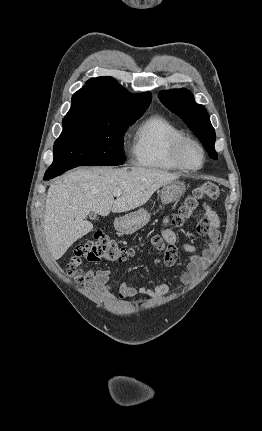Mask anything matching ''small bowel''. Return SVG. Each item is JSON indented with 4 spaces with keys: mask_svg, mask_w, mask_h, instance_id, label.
<instances>
[{
    "mask_svg": "<svg viewBox=\"0 0 262 431\" xmlns=\"http://www.w3.org/2000/svg\"><path fill=\"white\" fill-rule=\"evenodd\" d=\"M202 208L205 213V221L198 225L199 233L206 238L208 247L199 252L198 249L190 244H185L184 249L191 253L185 269L180 273V285L186 286L191 284L195 279L200 277L208 267L220 239L219 225L220 219L217 213L211 206L204 202ZM169 222V218H165L164 224ZM162 237L168 244V248L164 250V263L166 266L172 267L177 261V237L170 229L162 230ZM75 281L82 284L88 291L97 292L106 300L116 298L110 284V271L106 269L89 270L81 275H73ZM167 282L160 283L154 287H132L123 283L118 291L119 298L134 297L137 294H142L149 298H154L160 294L167 292L170 288Z\"/></svg>",
    "mask_w": 262,
    "mask_h": 431,
    "instance_id": "obj_1",
    "label": "small bowel"
}]
</instances>
